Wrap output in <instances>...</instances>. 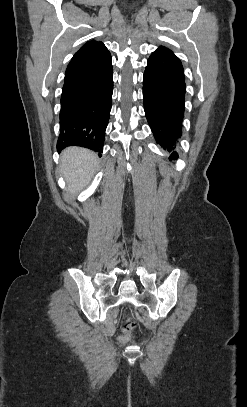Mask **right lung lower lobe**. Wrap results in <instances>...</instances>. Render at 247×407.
Instances as JSON below:
<instances>
[{
  "label": "right lung lower lobe",
  "mask_w": 247,
  "mask_h": 407,
  "mask_svg": "<svg viewBox=\"0 0 247 407\" xmlns=\"http://www.w3.org/2000/svg\"><path fill=\"white\" fill-rule=\"evenodd\" d=\"M113 93L111 56L65 79L61 95L57 150L86 147L101 157Z\"/></svg>",
  "instance_id": "obj_1"
}]
</instances>
